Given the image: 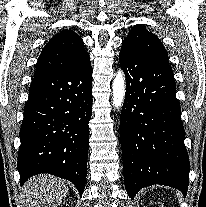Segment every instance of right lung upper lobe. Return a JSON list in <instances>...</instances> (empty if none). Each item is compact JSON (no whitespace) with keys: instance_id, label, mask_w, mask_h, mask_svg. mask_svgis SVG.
I'll use <instances>...</instances> for the list:
<instances>
[{"instance_id":"cb5924a9","label":"right lung upper lobe","mask_w":206,"mask_h":207,"mask_svg":"<svg viewBox=\"0 0 206 207\" xmlns=\"http://www.w3.org/2000/svg\"><path fill=\"white\" fill-rule=\"evenodd\" d=\"M88 57L81 37L72 30H63L53 36L42 50L34 77L64 72Z\"/></svg>"}]
</instances>
